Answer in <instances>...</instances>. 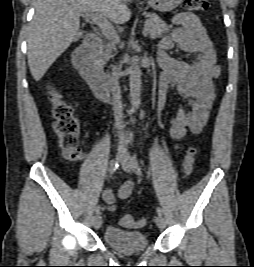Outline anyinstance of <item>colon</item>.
Returning a JSON list of instances; mask_svg holds the SVG:
<instances>
[{
    "label": "colon",
    "mask_w": 254,
    "mask_h": 267,
    "mask_svg": "<svg viewBox=\"0 0 254 267\" xmlns=\"http://www.w3.org/2000/svg\"><path fill=\"white\" fill-rule=\"evenodd\" d=\"M184 4L186 9L191 12L205 11L209 5L208 0H185ZM49 100L53 127L65 159L70 162L80 161L84 153L79 144L80 122L73 106L66 102L54 88L49 89ZM195 156L196 149L189 147L182 163V170L187 175L193 171ZM120 223L126 228H139L145 222L143 219H135L132 215L125 214L121 217Z\"/></svg>",
    "instance_id": "1"
}]
</instances>
